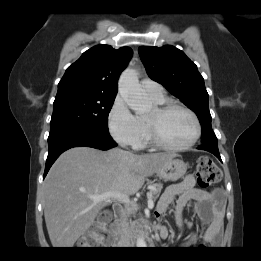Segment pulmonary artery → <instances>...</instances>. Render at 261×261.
Segmentation results:
<instances>
[{"mask_svg": "<svg viewBox=\"0 0 261 261\" xmlns=\"http://www.w3.org/2000/svg\"><path fill=\"white\" fill-rule=\"evenodd\" d=\"M141 86L144 92L151 97L164 96V90L161 84L158 82L145 78L141 80Z\"/></svg>", "mask_w": 261, "mask_h": 261, "instance_id": "obj_1", "label": "pulmonary artery"}]
</instances>
